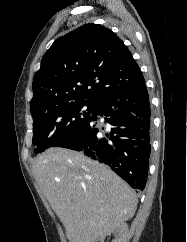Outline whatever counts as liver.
<instances>
[{
  "mask_svg": "<svg viewBox=\"0 0 187 242\" xmlns=\"http://www.w3.org/2000/svg\"><path fill=\"white\" fill-rule=\"evenodd\" d=\"M32 171L70 242H87L135 214V191L82 153L51 148L35 159Z\"/></svg>",
  "mask_w": 187,
  "mask_h": 242,
  "instance_id": "obj_1",
  "label": "liver"
}]
</instances>
